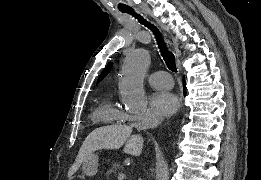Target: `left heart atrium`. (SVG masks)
<instances>
[{
  "instance_id": "39dd6f15",
  "label": "left heart atrium",
  "mask_w": 261,
  "mask_h": 180,
  "mask_svg": "<svg viewBox=\"0 0 261 180\" xmlns=\"http://www.w3.org/2000/svg\"><path fill=\"white\" fill-rule=\"evenodd\" d=\"M178 107L177 97L169 91L157 90L150 98L148 112L158 116H169Z\"/></svg>"
}]
</instances>
